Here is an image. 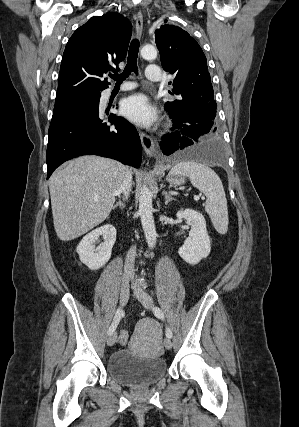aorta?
<instances>
[{"label":"aorta","instance_id":"obj_1","mask_svg":"<svg viewBox=\"0 0 299 427\" xmlns=\"http://www.w3.org/2000/svg\"><path fill=\"white\" fill-rule=\"evenodd\" d=\"M141 56L146 60H154L157 57V50L152 45H145L141 49ZM152 211V193L149 188L144 185L139 196V214L146 241L150 249L155 247L157 240V232Z\"/></svg>","mask_w":299,"mask_h":427}]
</instances>
